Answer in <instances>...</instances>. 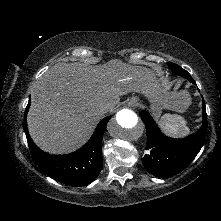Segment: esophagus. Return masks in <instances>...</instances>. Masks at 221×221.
<instances>
[{"mask_svg":"<svg viewBox=\"0 0 221 221\" xmlns=\"http://www.w3.org/2000/svg\"><path fill=\"white\" fill-rule=\"evenodd\" d=\"M137 104V100L135 98H132L130 101H129V105L130 106H135Z\"/></svg>","mask_w":221,"mask_h":221,"instance_id":"1","label":"esophagus"}]
</instances>
